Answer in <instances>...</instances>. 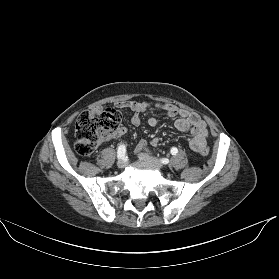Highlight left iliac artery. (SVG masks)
Instances as JSON below:
<instances>
[{
  "mask_svg": "<svg viewBox=\"0 0 279 279\" xmlns=\"http://www.w3.org/2000/svg\"><path fill=\"white\" fill-rule=\"evenodd\" d=\"M178 153V149L176 147L171 148V154L176 155ZM163 164H167L169 162L168 159H162L161 160Z\"/></svg>",
  "mask_w": 279,
  "mask_h": 279,
  "instance_id": "44dca946",
  "label": "left iliac artery"
}]
</instances>
